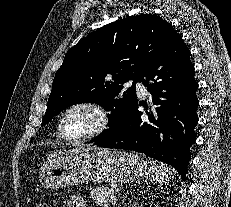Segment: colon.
<instances>
[{
    "mask_svg": "<svg viewBox=\"0 0 231 207\" xmlns=\"http://www.w3.org/2000/svg\"><path fill=\"white\" fill-rule=\"evenodd\" d=\"M37 207H50V206L48 204L43 203V204L38 205Z\"/></svg>",
    "mask_w": 231,
    "mask_h": 207,
    "instance_id": "colon-1",
    "label": "colon"
}]
</instances>
